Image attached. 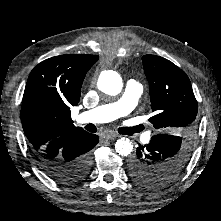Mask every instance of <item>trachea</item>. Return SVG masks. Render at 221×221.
Masks as SVG:
<instances>
[{
    "label": "trachea",
    "instance_id": "obj_1",
    "mask_svg": "<svg viewBox=\"0 0 221 221\" xmlns=\"http://www.w3.org/2000/svg\"><path fill=\"white\" fill-rule=\"evenodd\" d=\"M86 129L90 132H96V127L93 124L87 125ZM134 129L136 132H139L138 130H136V128H134ZM130 130H131V128H120L119 132L123 134V133L130 131Z\"/></svg>",
    "mask_w": 221,
    "mask_h": 221
}]
</instances>
